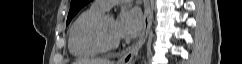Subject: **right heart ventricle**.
Returning <instances> with one entry per match:
<instances>
[{
	"label": "right heart ventricle",
	"instance_id": "e07e8e85",
	"mask_svg": "<svg viewBox=\"0 0 242 64\" xmlns=\"http://www.w3.org/2000/svg\"><path fill=\"white\" fill-rule=\"evenodd\" d=\"M105 11L106 10L93 4L91 7L81 12L74 20L68 33V49L73 56L77 58H89L99 53L82 41L81 30L90 19L104 14Z\"/></svg>",
	"mask_w": 242,
	"mask_h": 64
}]
</instances>
